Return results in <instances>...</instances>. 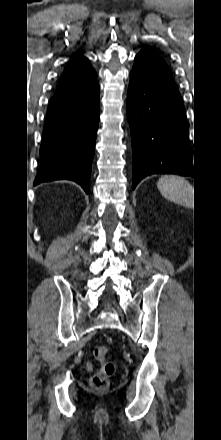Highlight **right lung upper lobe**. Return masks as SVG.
<instances>
[{"label":"right lung upper lobe","instance_id":"right-lung-upper-lobe-1","mask_svg":"<svg viewBox=\"0 0 221 440\" xmlns=\"http://www.w3.org/2000/svg\"><path fill=\"white\" fill-rule=\"evenodd\" d=\"M96 78V72L89 60L85 57H77L64 69L57 88H69L89 83Z\"/></svg>","mask_w":221,"mask_h":440}]
</instances>
